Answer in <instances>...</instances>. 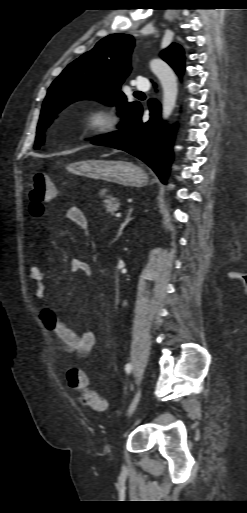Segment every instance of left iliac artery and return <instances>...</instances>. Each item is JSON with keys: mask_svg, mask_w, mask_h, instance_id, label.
Listing matches in <instances>:
<instances>
[{"mask_svg": "<svg viewBox=\"0 0 247 513\" xmlns=\"http://www.w3.org/2000/svg\"><path fill=\"white\" fill-rule=\"evenodd\" d=\"M125 370H126V372H127V373H130V372L132 371V365H131V363L126 364V366H125Z\"/></svg>", "mask_w": 247, "mask_h": 513, "instance_id": "44dca946", "label": "left iliac artery"}]
</instances>
